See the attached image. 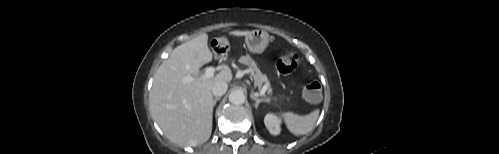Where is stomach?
Listing matches in <instances>:
<instances>
[{
	"mask_svg": "<svg viewBox=\"0 0 499 154\" xmlns=\"http://www.w3.org/2000/svg\"><path fill=\"white\" fill-rule=\"evenodd\" d=\"M220 45H228L225 38H219ZM245 42L251 52L262 53L269 44V34L265 30H253L245 36Z\"/></svg>",
	"mask_w": 499,
	"mask_h": 154,
	"instance_id": "obj_1",
	"label": "stomach"
}]
</instances>
